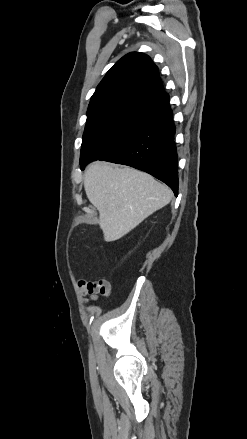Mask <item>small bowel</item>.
I'll return each instance as SVG.
<instances>
[{
	"label": "small bowel",
	"mask_w": 247,
	"mask_h": 439,
	"mask_svg": "<svg viewBox=\"0 0 247 439\" xmlns=\"http://www.w3.org/2000/svg\"><path fill=\"white\" fill-rule=\"evenodd\" d=\"M80 293L85 297L84 301L89 304L99 299V296L108 297L111 293V285L108 281H80Z\"/></svg>",
	"instance_id": "c3829d8e"
}]
</instances>
